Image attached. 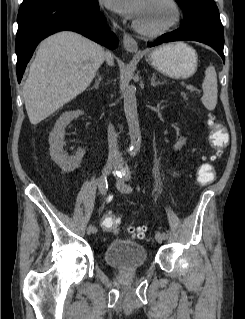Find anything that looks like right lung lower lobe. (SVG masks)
<instances>
[{"label":"right lung lower lobe","instance_id":"right-lung-lower-lobe-1","mask_svg":"<svg viewBox=\"0 0 245 319\" xmlns=\"http://www.w3.org/2000/svg\"><path fill=\"white\" fill-rule=\"evenodd\" d=\"M17 79L21 81L36 46L45 37L61 30H72L110 49L118 45L110 32L97 0H49L21 6L17 17Z\"/></svg>","mask_w":245,"mask_h":319}]
</instances>
